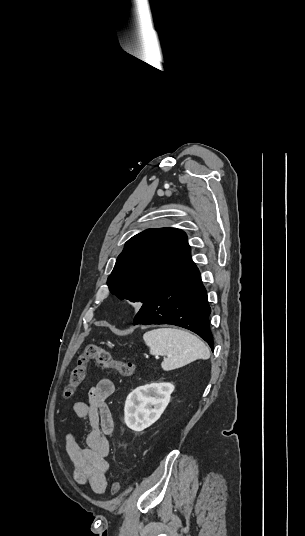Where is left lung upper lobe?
I'll list each match as a JSON object with an SVG mask.
<instances>
[{"instance_id": "obj_1", "label": "left lung upper lobe", "mask_w": 305, "mask_h": 536, "mask_svg": "<svg viewBox=\"0 0 305 536\" xmlns=\"http://www.w3.org/2000/svg\"><path fill=\"white\" fill-rule=\"evenodd\" d=\"M191 264V249L182 230L147 229L126 242L107 284L119 299L144 304Z\"/></svg>"}]
</instances>
